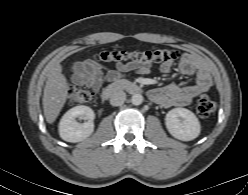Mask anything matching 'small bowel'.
I'll use <instances>...</instances> for the list:
<instances>
[{
    "label": "small bowel",
    "instance_id": "obj_1",
    "mask_svg": "<svg viewBox=\"0 0 248 195\" xmlns=\"http://www.w3.org/2000/svg\"><path fill=\"white\" fill-rule=\"evenodd\" d=\"M172 65L173 61L167 60L160 65V70L167 73L171 70ZM151 70V63L133 60L117 63L115 67L108 69L104 75L99 64L91 59H86L74 66L73 81L77 85L89 86L98 91L106 81H114L127 73L146 74ZM179 70L184 76H195L196 82L189 86L169 84L151 90L152 100L164 108L187 106L212 86V78L208 67L193 54L184 53L180 57Z\"/></svg>",
    "mask_w": 248,
    "mask_h": 195
}]
</instances>
